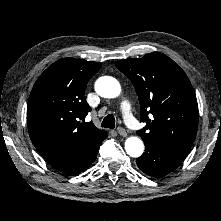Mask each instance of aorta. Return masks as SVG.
Here are the masks:
<instances>
[{
  "mask_svg": "<svg viewBox=\"0 0 221 221\" xmlns=\"http://www.w3.org/2000/svg\"><path fill=\"white\" fill-rule=\"evenodd\" d=\"M95 91L104 98H116L121 93L119 82L110 76L100 77L95 83ZM126 153L131 157H139L143 154L144 144L138 137L132 136L125 141Z\"/></svg>",
  "mask_w": 221,
  "mask_h": 221,
  "instance_id": "1",
  "label": "aorta"
}]
</instances>
